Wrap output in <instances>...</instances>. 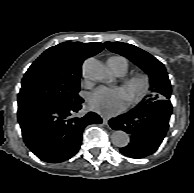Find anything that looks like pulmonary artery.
Masks as SVG:
<instances>
[{
    "mask_svg": "<svg viewBox=\"0 0 194 193\" xmlns=\"http://www.w3.org/2000/svg\"><path fill=\"white\" fill-rule=\"evenodd\" d=\"M121 65H122V60L119 57H111L107 60V66L116 75H122Z\"/></svg>",
    "mask_w": 194,
    "mask_h": 193,
    "instance_id": "1",
    "label": "pulmonary artery"
}]
</instances>
